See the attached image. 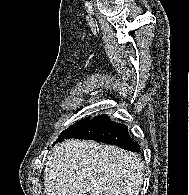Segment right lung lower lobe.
Returning <instances> with one entry per match:
<instances>
[{"label": "right lung lower lobe", "mask_w": 189, "mask_h": 195, "mask_svg": "<svg viewBox=\"0 0 189 195\" xmlns=\"http://www.w3.org/2000/svg\"><path fill=\"white\" fill-rule=\"evenodd\" d=\"M72 138L96 140L137 153L141 152L140 146L130 138L127 126L112 122L106 115L90 119Z\"/></svg>", "instance_id": "1"}]
</instances>
